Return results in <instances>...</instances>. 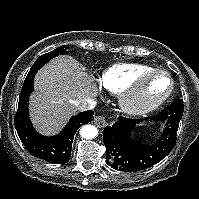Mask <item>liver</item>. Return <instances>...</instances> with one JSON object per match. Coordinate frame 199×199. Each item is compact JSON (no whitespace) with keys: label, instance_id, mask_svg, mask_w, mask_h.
Instances as JSON below:
<instances>
[{"label":"liver","instance_id":"liver-1","mask_svg":"<svg viewBox=\"0 0 199 199\" xmlns=\"http://www.w3.org/2000/svg\"><path fill=\"white\" fill-rule=\"evenodd\" d=\"M35 92L30 97V116L37 131L58 133L77 112L75 103L97 96L94 78L71 56H60L35 76Z\"/></svg>","mask_w":199,"mask_h":199}]
</instances>
